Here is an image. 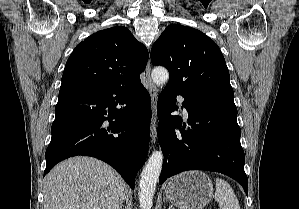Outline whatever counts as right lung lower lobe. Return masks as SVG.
Returning <instances> with one entry per match:
<instances>
[{"mask_svg": "<svg viewBox=\"0 0 299 209\" xmlns=\"http://www.w3.org/2000/svg\"><path fill=\"white\" fill-rule=\"evenodd\" d=\"M44 176L60 161L92 156L111 165L131 188L148 152L151 98L142 83L59 92Z\"/></svg>", "mask_w": 299, "mask_h": 209, "instance_id": "right-lung-lower-lobe-1", "label": "right lung lower lobe"}]
</instances>
